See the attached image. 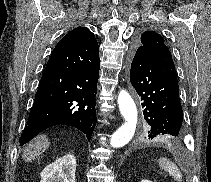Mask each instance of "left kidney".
Instances as JSON below:
<instances>
[{"instance_id": "left-kidney-1", "label": "left kidney", "mask_w": 211, "mask_h": 182, "mask_svg": "<svg viewBox=\"0 0 211 182\" xmlns=\"http://www.w3.org/2000/svg\"><path fill=\"white\" fill-rule=\"evenodd\" d=\"M141 182H152V181L147 180V179H144V180H142Z\"/></svg>"}]
</instances>
